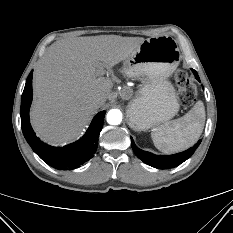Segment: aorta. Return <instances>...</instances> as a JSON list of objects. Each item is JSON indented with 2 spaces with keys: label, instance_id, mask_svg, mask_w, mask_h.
<instances>
[{
  "label": "aorta",
  "instance_id": "762f6f07",
  "mask_svg": "<svg viewBox=\"0 0 233 233\" xmlns=\"http://www.w3.org/2000/svg\"><path fill=\"white\" fill-rule=\"evenodd\" d=\"M122 121V113L118 109H111L107 113V122L111 125H118Z\"/></svg>",
  "mask_w": 233,
  "mask_h": 233
}]
</instances>
